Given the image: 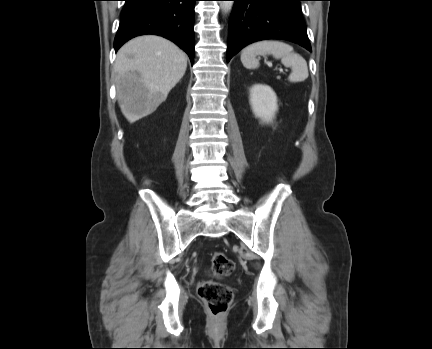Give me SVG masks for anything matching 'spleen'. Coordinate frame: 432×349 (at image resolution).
Here are the masks:
<instances>
[{
	"mask_svg": "<svg viewBox=\"0 0 432 349\" xmlns=\"http://www.w3.org/2000/svg\"><path fill=\"white\" fill-rule=\"evenodd\" d=\"M258 55H273L286 67H291L292 72L288 80L292 83L301 82L308 78V67L306 60L299 54L295 53L293 47L273 40H263L247 46L241 53V62L247 69H256L259 67Z\"/></svg>",
	"mask_w": 432,
	"mask_h": 349,
	"instance_id": "obj_1",
	"label": "spleen"
}]
</instances>
